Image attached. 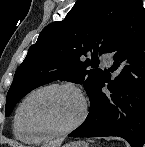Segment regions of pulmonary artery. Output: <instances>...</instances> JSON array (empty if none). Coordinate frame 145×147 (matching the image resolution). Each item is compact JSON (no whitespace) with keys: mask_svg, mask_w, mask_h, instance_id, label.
Here are the masks:
<instances>
[{"mask_svg":"<svg viewBox=\"0 0 145 147\" xmlns=\"http://www.w3.org/2000/svg\"><path fill=\"white\" fill-rule=\"evenodd\" d=\"M100 60L105 66H110L112 62V57L110 54L105 53L100 56Z\"/></svg>","mask_w":145,"mask_h":147,"instance_id":"1","label":"pulmonary artery"}]
</instances>
